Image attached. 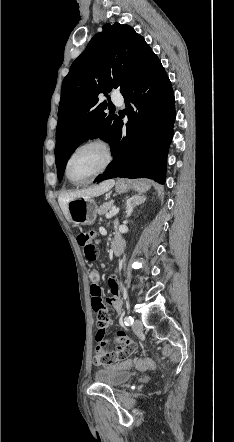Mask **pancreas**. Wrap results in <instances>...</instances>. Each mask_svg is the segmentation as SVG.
<instances>
[{
	"mask_svg": "<svg viewBox=\"0 0 234 442\" xmlns=\"http://www.w3.org/2000/svg\"><path fill=\"white\" fill-rule=\"evenodd\" d=\"M113 208H114V205H113L112 201L105 202L98 208L97 213L99 215H104V214H107L108 212H110Z\"/></svg>",
	"mask_w": 234,
	"mask_h": 442,
	"instance_id": "1",
	"label": "pancreas"
}]
</instances>
